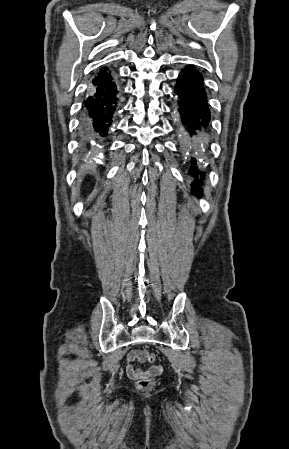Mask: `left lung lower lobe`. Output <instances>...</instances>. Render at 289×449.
<instances>
[{
	"label": "left lung lower lobe",
	"mask_w": 289,
	"mask_h": 449,
	"mask_svg": "<svg viewBox=\"0 0 289 449\" xmlns=\"http://www.w3.org/2000/svg\"><path fill=\"white\" fill-rule=\"evenodd\" d=\"M175 93L179 97L177 109L181 121L179 136L185 145L199 149L204 144L202 131L210 121V111L201 74L192 67L185 68L178 77ZM191 162L189 174L194 177L191 191L201 197L205 173L199 170L196 158H192Z\"/></svg>",
	"instance_id": "obj_1"
}]
</instances>
